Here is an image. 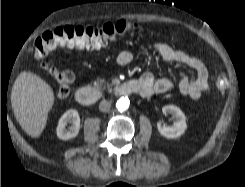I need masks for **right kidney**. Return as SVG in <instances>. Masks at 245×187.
Segmentation results:
<instances>
[{
	"instance_id": "right-kidney-1",
	"label": "right kidney",
	"mask_w": 245,
	"mask_h": 187,
	"mask_svg": "<svg viewBox=\"0 0 245 187\" xmlns=\"http://www.w3.org/2000/svg\"><path fill=\"white\" fill-rule=\"evenodd\" d=\"M68 123H72V126L66 128ZM80 130V117L77 110L70 109L66 111L60 118L56 133L57 137L61 140H69L78 135Z\"/></svg>"
}]
</instances>
